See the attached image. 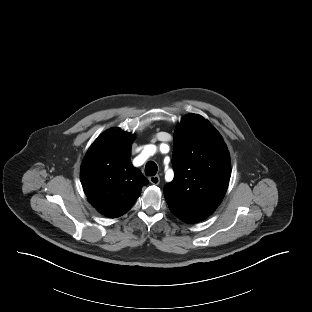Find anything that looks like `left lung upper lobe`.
<instances>
[{
    "mask_svg": "<svg viewBox=\"0 0 312 312\" xmlns=\"http://www.w3.org/2000/svg\"><path fill=\"white\" fill-rule=\"evenodd\" d=\"M175 177L164 187L171 212L187 223L207 218L222 201L231 176L228 149L219 132L196 114L174 132Z\"/></svg>",
    "mask_w": 312,
    "mask_h": 312,
    "instance_id": "obj_1",
    "label": "left lung upper lobe"
}]
</instances>
